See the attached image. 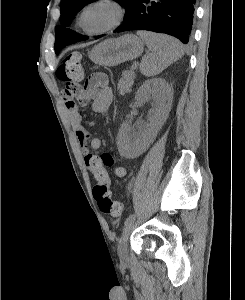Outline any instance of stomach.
Wrapping results in <instances>:
<instances>
[{
	"instance_id": "stomach-1",
	"label": "stomach",
	"mask_w": 245,
	"mask_h": 300,
	"mask_svg": "<svg viewBox=\"0 0 245 300\" xmlns=\"http://www.w3.org/2000/svg\"><path fill=\"white\" fill-rule=\"evenodd\" d=\"M143 47V42L136 35L125 34L96 45L89 53V58L97 65L116 66L139 57Z\"/></svg>"
}]
</instances>
